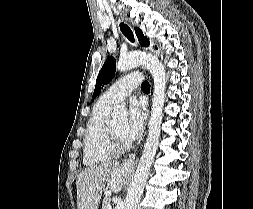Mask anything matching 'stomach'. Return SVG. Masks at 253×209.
Wrapping results in <instances>:
<instances>
[{"label":"stomach","instance_id":"1","mask_svg":"<svg viewBox=\"0 0 253 209\" xmlns=\"http://www.w3.org/2000/svg\"><path fill=\"white\" fill-rule=\"evenodd\" d=\"M100 190H110L111 182L110 181H101Z\"/></svg>","mask_w":253,"mask_h":209}]
</instances>
